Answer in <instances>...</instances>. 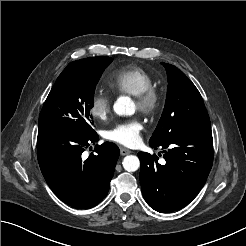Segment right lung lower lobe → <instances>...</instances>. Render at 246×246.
<instances>
[{
	"mask_svg": "<svg viewBox=\"0 0 246 246\" xmlns=\"http://www.w3.org/2000/svg\"><path fill=\"white\" fill-rule=\"evenodd\" d=\"M97 141L96 132L38 130L37 157L42 174L55 195L74 208L94 207L109 191L120 151L114 143L105 142L83 160L82 153Z\"/></svg>",
	"mask_w": 246,
	"mask_h": 246,
	"instance_id": "1",
	"label": "right lung lower lobe"
}]
</instances>
